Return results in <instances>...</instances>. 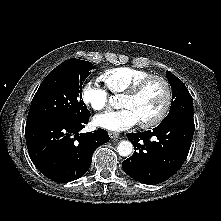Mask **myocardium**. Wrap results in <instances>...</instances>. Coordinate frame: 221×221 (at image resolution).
<instances>
[{"label":"myocardium","instance_id":"f54148a6","mask_svg":"<svg viewBox=\"0 0 221 221\" xmlns=\"http://www.w3.org/2000/svg\"><path fill=\"white\" fill-rule=\"evenodd\" d=\"M153 80L160 81L164 85L166 98L163 107L155 117L147 121L139 122V126L141 128L155 127L159 125L166 118L173 100V90L170 82L161 75L150 74L137 81L129 90L123 93V97L134 98L138 96L141 93V91L144 89V87Z\"/></svg>","mask_w":221,"mask_h":221}]
</instances>
